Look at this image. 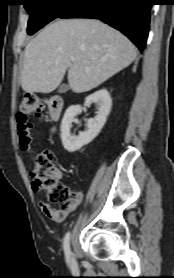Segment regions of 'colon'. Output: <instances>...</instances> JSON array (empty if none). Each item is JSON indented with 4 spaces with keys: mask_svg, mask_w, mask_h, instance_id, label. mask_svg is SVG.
<instances>
[{
    "mask_svg": "<svg viewBox=\"0 0 174 278\" xmlns=\"http://www.w3.org/2000/svg\"><path fill=\"white\" fill-rule=\"evenodd\" d=\"M44 104L40 98L28 95L21 101L20 108L16 114L19 142L23 151H29L31 145L30 117L41 116ZM55 156L49 151L40 152L33 162L31 176L33 185L38 190H43L47 198L53 203H64L69 196V189L58 181V171L55 166Z\"/></svg>",
    "mask_w": 174,
    "mask_h": 278,
    "instance_id": "1",
    "label": "colon"
}]
</instances>
